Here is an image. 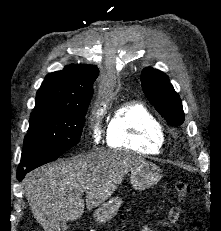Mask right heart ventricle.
I'll list each match as a JSON object with an SVG mask.
<instances>
[{
  "label": "right heart ventricle",
  "mask_w": 221,
  "mask_h": 231,
  "mask_svg": "<svg viewBox=\"0 0 221 231\" xmlns=\"http://www.w3.org/2000/svg\"><path fill=\"white\" fill-rule=\"evenodd\" d=\"M107 144L140 154H156L165 144L164 127L143 104L125 103L109 120Z\"/></svg>",
  "instance_id": "obj_1"
}]
</instances>
